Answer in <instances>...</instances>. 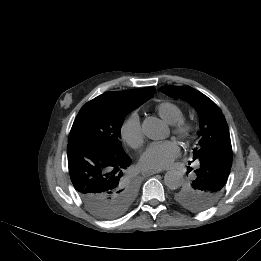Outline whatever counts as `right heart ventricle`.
Returning a JSON list of instances; mask_svg holds the SVG:
<instances>
[{
  "mask_svg": "<svg viewBox=\"0 0 261 261\" xmlns=\"http://www.w3.org/2000/svg\"><path fill=\"white\" fill-rule=\"evenodd\" d=\"M157 113L169 124H176L184 117V111L180 105L172 101H162L155 107Z\"/></svg>",
  "mask_w": 261,
  "mask_h": 261,
  "instance_id": "e07e8e85",
  "label": "right heart ventricle"
}]
</instances>
